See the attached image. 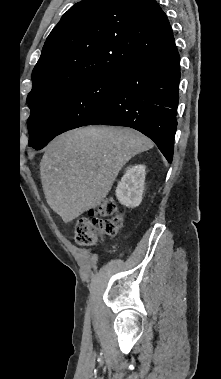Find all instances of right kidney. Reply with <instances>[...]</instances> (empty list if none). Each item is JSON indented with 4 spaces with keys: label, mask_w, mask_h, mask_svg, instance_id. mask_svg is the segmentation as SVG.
<instances>
[{
    "label": "right kidney",
    "mask_w": 221,
    "mask_h": 379,
    "mask_svg": "<svg viewBox=\"0 0 221 379\" xmlns=\"http://www.w3.org/2000/svg\"><path fill=\"white\" fill-rule=\"evenodd\" d=\"M145 166L128 168L116 188V197L122 205L137 207L142 201L145 181Z\"/></svg>",
    "instance_id": "obj_1"
}]
</instances>
